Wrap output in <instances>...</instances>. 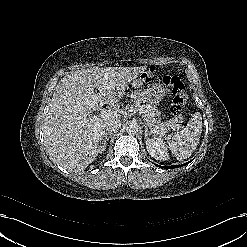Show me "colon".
Here are the masks:
<instances>
[{"label": "colon", "instance_id": "obj_1", "mask_svg": "<svg viewBox=\"0 0 247 247\" xmlns=\"http://www.w3.org/2000/svg\"><path fill=\"white\" fill-rule=\"evenodd\" d=\"M162 83L170 89L173 94L170 111L174 115H180L187 102V92L183 81L176 76H164Z\"/></svg>", "mask_w": 247, "mask_h": 247}]
</instances>
